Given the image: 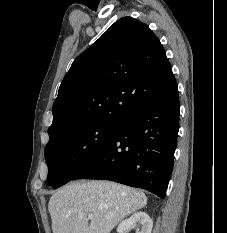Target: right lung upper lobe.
Masks as SVG:
<instances>
[{
	"label": "right lung upper lobe",
	"instance_id": "obj_1",
	"mask_svg": "<svg viewBox=\"0 0 227 233\" xmlns=\"http://www.w3.org/2000/svg\"><path fill=\"white\" fill-rule=\"evenodd\" d=\"M175 83L160 40L146 24L121 18L72 63L53 104L49 137L90 123L121 122Z\"/></svg>",
	"mask_w": 227,
	"mask_h": 233
}]
</instances>
